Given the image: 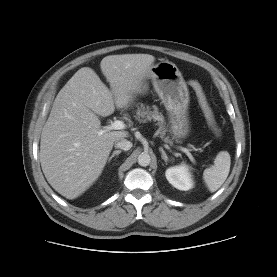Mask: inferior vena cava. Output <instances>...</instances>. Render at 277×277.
Returning <instances> with one entry per match:
<instances>
[{
  "mask_svg": "<svg viewBox=\"0 0 277 277\" xmlns=\"http://www.w3.org/2000/svg\"><path fill=\"white\" fill-rule=\"evenodd\" d=\"M115 147L127 151L131 149L132 143L125 138H121L115 142Z\"/></svg>",
  "mask_w": 277,
  "mask_h": 277,
  "instance_id": "602c4592",
  "label": "inferior vena cava"
}]
</instances>
